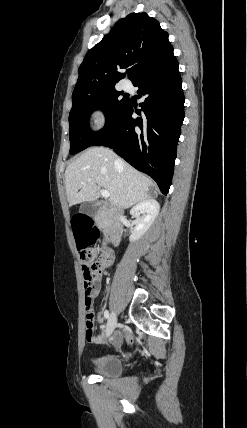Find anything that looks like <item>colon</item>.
I'll return each mask as SVG.
<instances>
[{
    "mask_svg": "<svg viewBox=\"0 0 247 428\" xmlns=\"http://www.w3.org/2000/svg\"><path fill=\"white\" fill-rule=\"evenodd\" d=\"M70 220L76 249L77 251H82V274L84 279L85 297L88 298L91 286L100 279L101 270L104 267L103 259L93 260L92 254L90 252H86L89 249L88 243H95V239L99 236V230L94 226V218L89 217L88 212H71ZM85 306L86 336L88 340L91 341L95 336V333L93 332L94 313L89 300H87Z\"/></svg>",
    "mask_w": 247,
    "mask_h": 428,
    "instance_id": "obj_1",
    "label": "colon"
}]
</instances>
